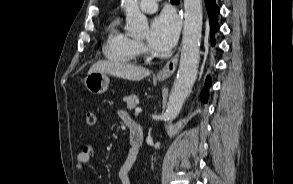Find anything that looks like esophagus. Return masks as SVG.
<instances>
[{
    "instance_id": "1",
    "label": "esophagus",
    "mask_w": 293,
    "mask_h": 184,
    "mask_svg": "<svg viewBox=\"0 0 293 184\" xmlns=\"http://www.w3.org/2000/svg\"><path fill=\"white\" fill-rule=\"evenodd\" d=\"M179 60V51L167 62V64L157 73V79L164 80L170 77L176 70Z\"/></svg>"
}]
</instances>
